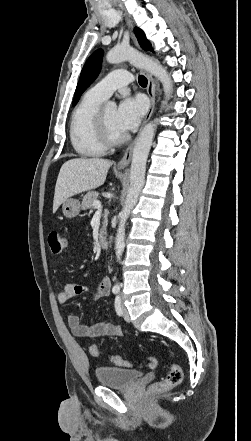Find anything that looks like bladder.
<instances>
[{"mask_svg": "<svg viewBox=\"0 0 251 441\" xmlns=\"http://www.w3.org/2000/svg\"><path fill=\"white\" fill-rule=\"evenodd\" d=\"M142 375L141 371L118 367H98L95 370V376L98 383L102 386L111 388H129Z\"/></svg>", "mask_w": 251, "mask_h": 441, "instance_id": "bladder-1", "label": "bladder"}]
</instances>
